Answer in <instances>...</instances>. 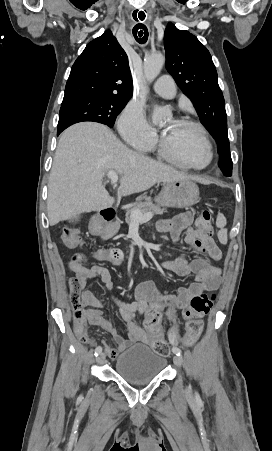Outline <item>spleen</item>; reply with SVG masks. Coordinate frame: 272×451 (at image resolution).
Wrapping results in <instances>:
<instances>
[{"instance_id":"obj_1","label":"spleen","mask_w":272,"mask_h":451,"mask_svg":"<svg viewBox=\"0 0 272 451\" xmlns=\"http://www.w3.org/2000/svg\"><path fill=\"white\" fill-rule=\"evenodd\" d=\"M226 218L225 216H223V214H218L217 218H216V226L220 227L217 235H218V239L220 241V243H227V229H226Z\"/></svg>"}]
</instances>
